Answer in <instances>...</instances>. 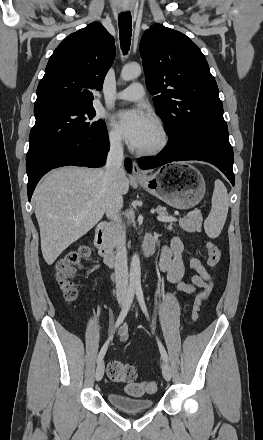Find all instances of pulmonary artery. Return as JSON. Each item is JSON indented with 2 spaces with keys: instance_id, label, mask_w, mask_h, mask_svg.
Here are the masks:
<instances>
[{
  "instance_id": "obj_1",
  "label": "pulmonary artery",
  "mask_w": 263,
  "mask_h": 440,
  "mask_svg": "<svg viewBox=\"0 0 263 440\" xmlns=\"http://www.w3.org/2000/svg\"><path fill=\"white\" fill-rule=\"evenodd\" d=\"M145 95L144 87L141 83H132L122 91L114 95V99L125 101H139Z\"/></svg>"
}]
</instances>
